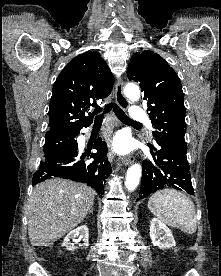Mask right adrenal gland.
Listing matches in <instances>:
<instances>
[{
    "label": "right adrenal gland",
    "mask_w": 221,
    "mask_h": 276,
    "mask_svg": "<svg viewBox=\"0 0 221 276\" xmlns=\"http://www.w3.org/2000/svg\"><path fill=\"white\" fill-rule=\"evenodd\" d=\"M88 213H89V214H90V213H93V208H91L90 211H89Z\"/></svg>",
    "instance_id": "obj_1"
}]
</instances>
